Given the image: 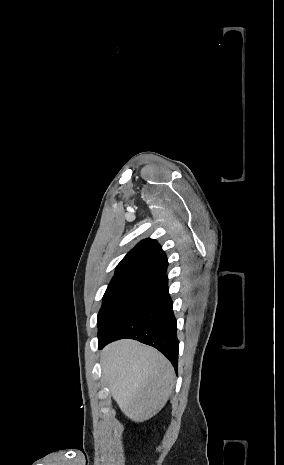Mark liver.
<instances>
[{"instance_id":"liver-1","label":"liver","mask_w":284,"mask_h":465,"mask_svg":"<svg viewBox=\"0 0 284 465\" xmlns=\"http://www.w3.org/2000/svg\"><path fill=\"white\" fill-rule=\"evenodd\" d=\"M103 379L122 413L143 423L165 407L174 387L169 361L138 341H116L102 351Z\"/></svg>"}]
</instances>
